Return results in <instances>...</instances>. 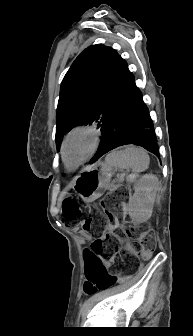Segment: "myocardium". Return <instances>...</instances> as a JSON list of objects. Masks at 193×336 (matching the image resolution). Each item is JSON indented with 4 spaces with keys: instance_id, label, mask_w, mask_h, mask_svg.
Instances as JSON below:
<instances>
[{
    "instance_id": "1",
    "label": "myocardium",
    "mask_w": 193,
    "mask_h": 336,
    "mask_svg": "<svg viewBox=\"0 0 193 336\" xmlns=\"http://www.w3.org/2000/svg\"><path fill=\"white\" fill-rule=\"evenodd\" d=\"M78 133H86L88 135L91 136L92 138V146L91 149L89 151V153L86 155V157L84 159H82L79 163H77L76 165H70L68 163V161L66 160V145L68 143V141L70 140V138L72 136H74L75 134ZM101 143V135L100 132L92 127V126H88V125H80V126H76L74 128H72L63 138L62 143H61V147H60V154H61V158L63 163L65 164V166L69 169V170H74L77 169L78 167H80L81 165H83L84 163H86L88 160H90L94 154L97 152L99 146Z\"/></svg>"
}]
</instances>
